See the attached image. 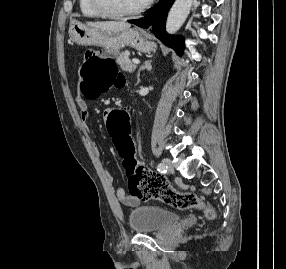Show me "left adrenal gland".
I'll list each match as a JSON object with an SVG mask.
<instances>
[{
	"instance_id": "obj_1",
	"label": "left adrenal gland",
	"mask_w": 286,
	"mask_h": 269,
	"mask_svg": "<svg viewBox=\"0 0 286 269\" xmlns=\"http://www.w3.org/2000/svg\"><path fill=\"white\" fill-rule=\"evenodd\" d=\"M151 60H148V61H145L143 63V65L138 69V74H137V84L140 83V73L142 70L146 69L148 71H151L152 70V65H151Z\"/></svg>"
}]
</instances>
